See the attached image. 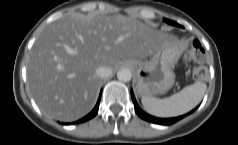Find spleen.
<instances>
[{"label":"spleen","instance_id":"obj_1","mask_svg":"<svg viewBox=\"0 0 238 145\" xmlns=\"http://www.w3.org/2000/svg\"><path fill=\"white\" fill-rule=\"evenodd\" d=\"M207 89L203 82H195L186 86L178 93L164 99L143 96L141 99L144 109L157 117H174L189 112L202 100Z\"/></svg>","mask_w":238,"mask_h":145}]
</instances>
